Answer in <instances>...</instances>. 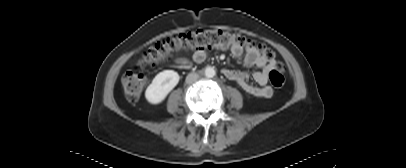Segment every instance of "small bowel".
Segmentation results:
<instances>
[{"mask_svg": "<svg viewBox=\"0 0 406 168\" xmlns=\"http://www.w3.org/2000/svg\"><path fill=\"white\" fill-rule=\"evenodd\" d=\"M231 53L236 58H242L244 65L248 67H257L260 70L248 73L240 70L224 69L223 75L236 82L246 93L260 97L270 98L272 96V89L267 85L269 72L276 67V62L271 59H265L258 50L254 48L232 49ZM208 57V53L204 50H198L193 54V60L196 63L203 62ZM186 58H178L176 63H186ZM251 76L256 82V85L248 82V77Z\"/></svg>", "mask_w": 406, "mask_h": 168, "instance_id": "obj_1", "label": "small bowel"}]
</instances>
